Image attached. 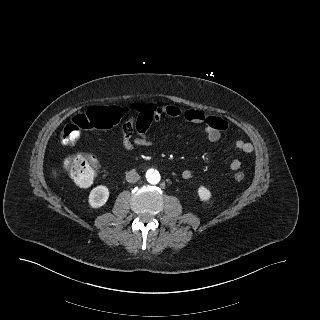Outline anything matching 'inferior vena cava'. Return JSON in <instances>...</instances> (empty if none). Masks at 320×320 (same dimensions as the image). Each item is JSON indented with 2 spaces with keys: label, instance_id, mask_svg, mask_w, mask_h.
Segmentation results:
<instances>
[{
  "label": "inferior vena cava",
  "instance_id": "obj_1",
  "mask_svg": "<svg viewBox=\"0 0 320 320\" xmlns=\"http://www.w3.org/2000/svg\"><path fill=\"white\" fill-rule=\"evenodd\" d=\"M139 179H140V176L135 170H130L126 173V180L129 183H135Z\"/></svg>",
  "mask_w": 320,
  "mask_h": 320
}]
</instances>
